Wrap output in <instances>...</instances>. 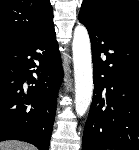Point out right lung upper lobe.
<instances>
[{"label": "right lung upper lobe", "mask_w": 139, "mask_h": 150, "mask_svg": "<svg viewBox=\"0 0 139 150\" xmlns=\"http://www.w3.org/2000/svg\"><path fill=\"white\" fill-rule=\"evenodd\" d=\"M51 21L50 0H0V45L31 39Z\"/></svg>", "instance_id": "obj_1"}]
</instances>
